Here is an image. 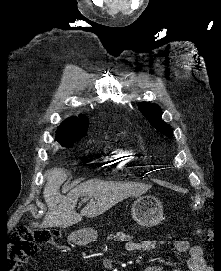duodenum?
Listing matches in <instances>:
<instances>
[{"instance_id":"1","label":"duodenum","mask_w":221,"mask_h":271,"mask_svg":"<svg viewBox=\"0 0 221 271\" xmlns=\"http://www.w3.org/2000/svg\"><path fill=\"white\" fill-rule=\"evenodd\" d=\"M72 241L74 243H76V244L82 245V244H85L87 242V238L84 235L79 234V235H75L72 238Z\"/></svg>"}]
</instances>
